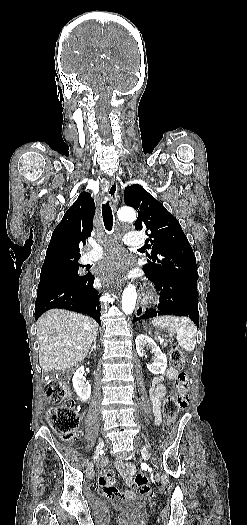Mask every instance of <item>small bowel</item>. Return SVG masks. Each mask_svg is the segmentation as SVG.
Wrapping results in <instances>:
<instances>
[{
	"mask_svg": "<svg viewBox=\"0 0 247 525\" xmlns=\"http://www.w3.org/2000/svg\"><path fill=\"white\" fill-rule=\"evenodd\" d=\"M179 376V371L176 368H168L162 377L157 378L151 390V400L153 403V408L155 414L160 416V407L161 402L165 394V386L162 383L163 378L169 380H175ZM115 467L110 470V472L103 474L100 473L97 476L95 490L100 492L101 496L104 498L112 497V502L114 504H123L125 498H132L134 493L130 490L125 491L124 493H117L119 487L115 479V476L118 472L121 474L124 482L130 484L132 475L135 473V466L130 462H125L123 460H117L115 462Z\"/></svg>",
	"mask_w": 247,
	"mask_h": 525,
	"instance_id": "c3829d8e",
	"label": "small bowel"
}]
</instances>
